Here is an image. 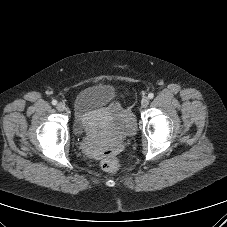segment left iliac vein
<instances>
[{"label": "left iliac vein", "instance_id": "1", "mask_svg": "<svg viewBox=\"0 0 227 227\" xmlns=\"http://www.w3.org/2000/svg\"><path fill=\"white\" fill-rule=\"evenodd\" d=\"M149 98L148 97H144L142 100H141V106L142 107H147L149 105Z\"/></svg>", "mask_w": 227, "mask_h": 227}]
</instances>
